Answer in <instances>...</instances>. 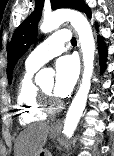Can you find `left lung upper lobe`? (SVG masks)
Masks as SVG:
<instances>
[{
	"label": "left lung upper lobe",
	"instance_id": "obj_1",
	"mask_svg": "<svg viewBox=\"0 0 114 156\" xmlns=\"http://www.w3.org/2000/svg\"><path fill=\"white\" fill-rule=\"evenodd\" d=\"M44 0H35L34 12L14 32L8 47V82L12 80V70L18 59L29 49L37 37V25L42 14ZM52 9L73 8L78 11L87 12L84 1L81 0H51Z\"/></svg>",
	"mask_w": 114,
	"mask_h": 156
}]
</instances>
